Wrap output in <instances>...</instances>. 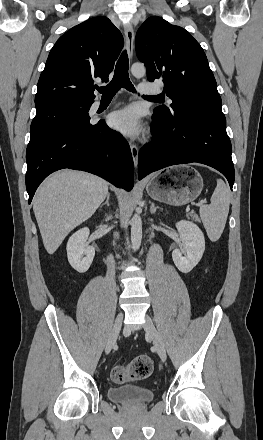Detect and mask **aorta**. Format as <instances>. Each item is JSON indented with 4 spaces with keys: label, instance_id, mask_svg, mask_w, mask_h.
Listing matches in <instances>:
<instances>
[{
    "label": "aorta",
    "instance_id": "obj_1",
    "mask_svg": "<svg viewBox=\"0 0 263 440\" xmlns=\"http://www.w3.org/2000/svg\"><path fill=\"white\" fill-rule=\"evenodd\" d=\"M131 73L136 78L145 75V66L141 63H135L131 67ZM142 240V219L138 213H135L131 219V243L134 250H138Z\"/></svg>",
    "mask_w": 263,
    "mask_h": 440
}]
</instances>
